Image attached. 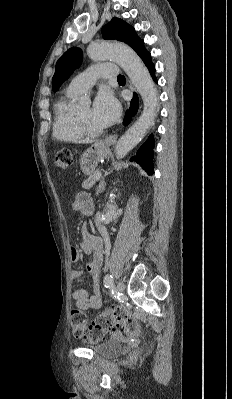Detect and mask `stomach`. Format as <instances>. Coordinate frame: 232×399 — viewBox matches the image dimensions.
<instances>
[{"mask_svg": "<svg viewBox=\"0 0 232 399\" xmlns=\"http://www.w3.org/2000/svg\"><path fill=\"white\" fill-rule=\"evenodd\" d=\"M107 144L104 140H99V142H95L91 148H88L84 154H82L79 164L83 174H93L95 172L99 162L104 160L108 154V150H106Z\"/></svg>", "mask_w": 232, "mask_h": 399, "instance_id": "obj_1", "label": "stomach"}]
</instances>
